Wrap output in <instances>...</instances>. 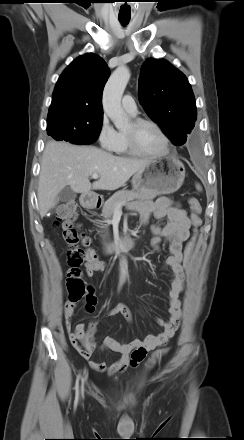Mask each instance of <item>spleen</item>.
<instances>
[{
    "instance_id": "spleen-1",
    "label": "spleen",
    "mask_w": 244,
    "mask_h": 440,
    "mask_svg": "<svg viewBox=\"0 0 244 440\" xmlns=\"http://www.w3.org/2000/svg\"><path fill=\"white\" fill-rule=\"evenodd\" d=\"M196 189H197L198 191H201V190H202V187L197 183V184H196Z\"/></svg>"
}]
</instances>
